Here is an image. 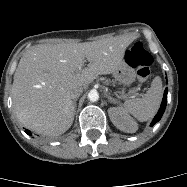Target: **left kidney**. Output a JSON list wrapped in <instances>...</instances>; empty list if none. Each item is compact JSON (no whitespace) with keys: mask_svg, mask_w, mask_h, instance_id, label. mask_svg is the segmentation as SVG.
<instances>
[{"mask_svg":"<svg viewBox=\"0 0 187 187\" xmlns=\"http://www.w3.org/2000/svg\"><path fill=\"white\" fill-rule=\"evenodd\" d=\"M108 114L112 123L121 131L127 133H134L137 130L136 122L119 107H112L108 109Z\"/></svg>","mask_w":187,"mask_h":187,"instance_id":"1","label":"left kidney"}]
</instances>
